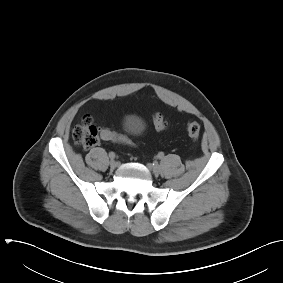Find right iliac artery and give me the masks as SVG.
<instances>
[{
  "label": "right iliac artery",
  "instance_id": "1",
  "mask_svg": "<svg viewBox=\"0 0 283 283\" xmlns=\"http://www.w3.org/2000/svg\"><path fill=\"white\" fill-rule=\"evenodd\" d=\"M109 157H110L111 160H114L116 158V155H115L114 152H110Z\"/></svg>",
  "mask_w": 283,
  "mask_h": 283
}]
</instances>
